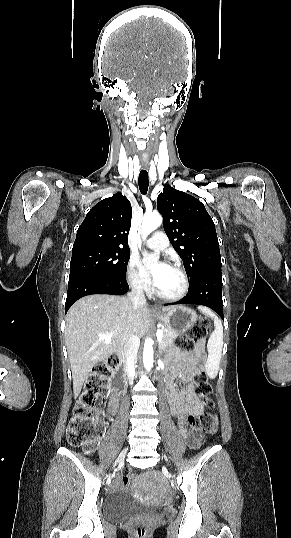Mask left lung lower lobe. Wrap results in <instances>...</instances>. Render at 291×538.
<instances>
[{"label": "left lung lower lobe", "mask_w": 291, "mask_h": 538, "mask_svg": "<svg viewBox=\"0 0 291 538\" xmlns=\"http://www.w3.org/2000/svg\"><path fill=\"white\" fill-rule=\"evenodd\" d=\"M172 304H196L207 306L217 312L224 320L221 269L209 270L191 281L186 297Z\"/></svg>", "instance_id": "0a47b994"}]
</instances>
